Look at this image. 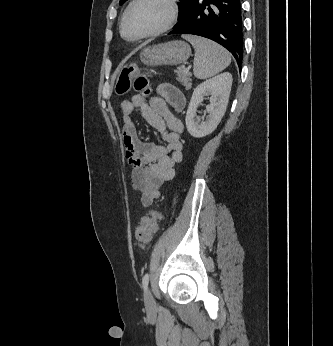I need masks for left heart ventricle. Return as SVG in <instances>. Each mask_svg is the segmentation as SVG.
Masks as SVG:
<instances>
[{
	"mask_svg": "<svg viewBox=\"0 0 333 346\" xmlns=\"http://www.w3.org/2000/svg\"><path fill=\"white\" fill-rule=\"evenodd\" d=\"M169 6L164 0H140L125 21L128 36H138L161 28L168 21Z\"/></svg>",
	"mask_w": 333,
	"mask_h": 346,
	"instance_id": "1",
	"label": "left heart ventricle"
}]
</instances>
